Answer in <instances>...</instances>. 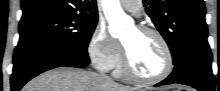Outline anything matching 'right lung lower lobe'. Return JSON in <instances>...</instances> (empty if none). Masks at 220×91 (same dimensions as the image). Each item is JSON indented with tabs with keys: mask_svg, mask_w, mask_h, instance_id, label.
Returning a JSON list of instances; mask_svg holds the SVG:
<instances>
[{
	"mask_svg": "<svg viewBox=\"0 0 220 91\" xmlns=\"http://www.w3.org/2000/svg\"><path fill=\"white\" fill-rule=\"evenodd\" d=\"M90 63L87 51L45 39L19 40L13 57L11 90L22 86L40 73L61 66L82 68Z\"/></svg>",
	"mask_w": 220,
	"mask_h": 91,
	"instance_id": "right-lung-lower-lobe-1",
	"label": "right lung lower lobe"
}]
</instances>
